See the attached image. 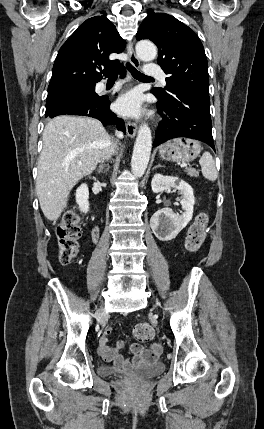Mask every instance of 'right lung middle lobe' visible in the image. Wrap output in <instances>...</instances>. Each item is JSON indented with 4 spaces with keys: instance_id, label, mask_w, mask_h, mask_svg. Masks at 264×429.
Returning <instances> with one entry per match:
<instances>
[{
    "instance_id": "1",
    "label": "right lung middle lobe",
    "mask_w": 264,
    "mask_h": 429,
    "mask_svg": "<svg viewBox=\"0 0 264 429\" xmlns=\"http://www.w3.org/2000/svg\"><path fill=\"white\" fill-rule=\"evenodd\" d=\"M76 98L97 100L100 97L95 93V84H70L48 88L46 114L62 103Z\"/></svg>"
}]
</instances>
